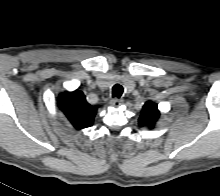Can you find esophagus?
<instances>
[{
	"label": "esophagus",
	"mask_w": 220,
	"mask_h": 196,
	"mask_svg": "<svg viewBox=\"0 0 220 196\" xmlns=\"http://www.w3.org/2000/svg\"><path fill=\"white\" fill-rule=\"evenodd\" d=\"M122 103H123V101H122L121 99H117V98L112 99V100L110 101V104H111V106H113V107H119Z\"/></svg>",
	"instance_id": "obj_1"
}]
</instances>
